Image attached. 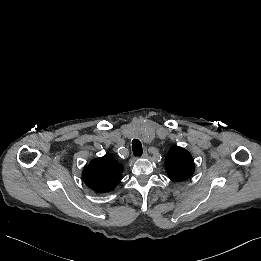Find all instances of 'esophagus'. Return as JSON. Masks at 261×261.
Masks as SVG:
<instances>
[{"mask_svg":"<svg viewBox=\"0 0 261 261\" xmlns=\"http://www.w3.org/2000/svg\"><path fill=\"white\" fill-rule=\"evenodd\" d=\"M148 157V152L145 150L144 152H143V158H147Z\"/></svg>","mask_w":261,"mask_h":261,"instance_id":"1","label":"esophagus"}]
</instances>
